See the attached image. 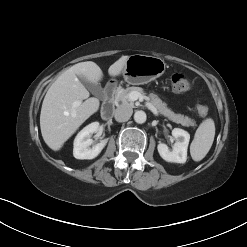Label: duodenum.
I'll return each mask as SVG.
<instances>
[{
	"mask_svg": "<svg viewBox=\"0 0 247 247\" xmlns=\"http://www.w3.org/2000/svg\"><path fill=\"white\" fill-rule=\"evenodd\" d=\"M116 83L109 82L105 86L104 90V101L102 105V117L106 120L110 119L113 116L116 101H115V92H116Z\"/></svg>",
	"mask_w": 247,
	"mask_h": 247,
	"instance_id": "obj_1",
	"label": "duodenum"
}]
</instances>
